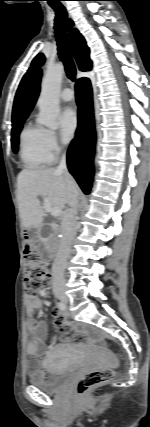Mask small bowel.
<instances>
[{
    "instance_id": "obj_1",
    "label": "small bowel",
    "mask_w": 150,
    "mask_h": 427,
    "mask_svg": "<svg viewBox=\"0 0 150 427\" xmlns=\"http://www.w3.org/2000/svg\"><path fill=\"white\" fill-rule=\"evenodd\" d=\"M46 304V300L43 294L36 296H30L27 299V311L29 318L32 320L33 312ZM52 316L59 326V330L62 334H67L75 330V327L69 320L63 317L60 310L55 309L52 311ZM30 336L31 339L27 342L26 350L30 356H38L41 351L45 350V340L48 336L47 324L43 321L31 322L30 324ZM49 356L45 357L46 365H49ZM29 376L33 379H42L45 374L36 366H29Z\"/></svg>"
}]
</instances>
